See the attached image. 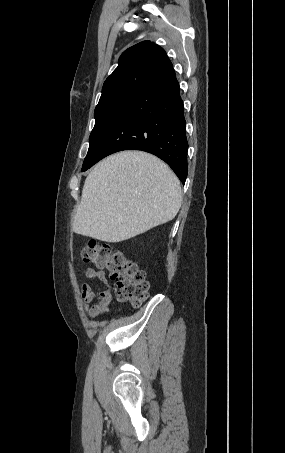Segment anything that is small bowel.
<instances>
[{
  "instance_id": "c3829d8e",
  "label": "small bowel",
  "mask_w": 285,
  "mask_h": 453,
  "mask_svg": "<svg viewBox=\"0 0 285 453\" xmlns=\"http://www.w3.org/2000/svg\"><path fill=\"white\" fill-rule=\"evenodd\" d=\"M84 274L87 278L99 281L104 285V288L98 292H95L87 283H82L80 286V292L83 299V308L91 317H97L105 313L108 309V306L112 299L111 285L105 273L101 270L87 268Z\"/></svg>"
}]
</instances>
